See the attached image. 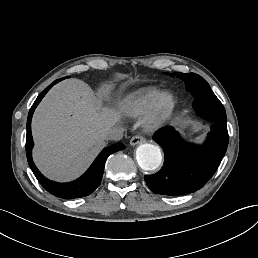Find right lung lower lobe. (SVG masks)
I'll list each match as a JSON object with an SVG mask.
<instances>
[{
  "mask_svg": "<svg viewBox=\"0 0 258 258\" xmlns=\"http://www.w3.org/2000/svg\"><path fill=\"white\" fill-rule=\"evenodd\" d=\"M62 79L54 81L44 91H42L29 111L27 119L26 155L29 166L33 171L35 177L49 193L63 199H74L85 197L96 190L101 182L107 157L114 152L122 150L124 146L121 143H118L104 148L96 157L89 169L80 178L69 183H57L51 181L39 172L32 160V148L34 143L31 134V119L35 108L45 96V94L54 84L58 83Z\"/></svg>",
  "mask_w": 258,
  "mask_h": 258,
  "instance_id": "98d812e1",
  "label": "right lung lower lobe"
}]
</instances>
